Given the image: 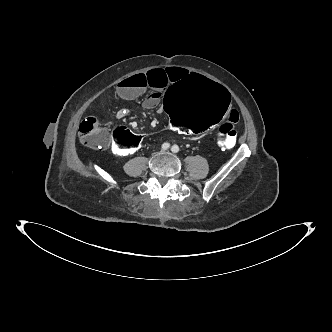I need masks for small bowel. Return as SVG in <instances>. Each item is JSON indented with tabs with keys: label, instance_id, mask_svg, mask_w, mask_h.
<instances>
[{
	"label": "small bowel",
	"instance_id": "small-bowel-1",
	"mask_svg": "<svg viewBox=\"0 0 332 332\" xmlns=\"http://www.w3.org/2000/svg\"><path fill=\"white\" fill-rule=\"evenodd\" d=\"M186 75H190V72L181 67L151 69L120 81L115 87V95L122 100H133L145 91L151 90V95L143 104L145 108L151 109L157 106L166 90ZM124 116L123 110L117 112L118 118L122 119ZM237 119L238 117L234 121L236 122ZM132 128L138 130L137 124L133 125ZM170 129L177 131L173 126H170Z\"/></svg>",
	"mask_w": 332,
	"mask_h": 332
}]
</instances>
